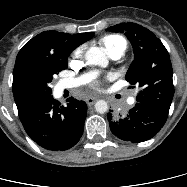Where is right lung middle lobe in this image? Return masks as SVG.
<instances>
[{
	"label": "right lung middle lobe",
	"mask_w": 187,
	"mask_h": 187,
	"mask_svg": "<svg viewBox=\"0 0 187 187\" xmlns=\"http://www.w3.org/2000/svg\"><path fill=\"white\" fill-rule=\"evenodd\" d=\"M68 67L67 58L26 54L16 59L13 71V94L23 103L51 95L53 76Z\"/></svg>",
	"instance_id": "1"
}]
</instances>
